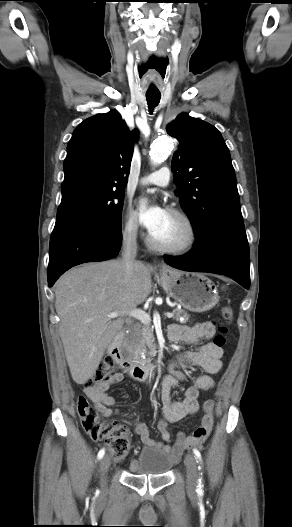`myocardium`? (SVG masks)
<instances>
[{"label":"myocardium","mask_w":292,"mask_h":527,"mask_svg":"<svg viewBox=\"0 0 292 527\" xmlns=\"http://www.w3.org/2000/svg\"><path fill=\"white\" fill-rule=\"evenodd\" d=\"M167 213L178 218L185 226V239L174 245L161 244L155 241L149 234L147 236V244L154 250L168 254H185L191 251L197 242V228L193 219L183 210L178 208H168Z\"/></svg>","instance_id":"1"}]
</instances>
